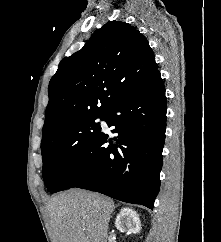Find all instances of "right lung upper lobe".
<instances>
[{
  "label": "right lung upper lobe",
  "instance_id": "cb5924a9",
  "mask_svg": "<svg viewBox=\"0 0 221 242\" xmlns=\"http://www.w3.org/2000/svg\"><path fill=\"white\" fill-rule=\"evenodd\" d=\"M157 69L148 40L134 26L107 22L60 62L49 83L43 135L82 116L103 115Z\"/></svg>",
  "mask_w": 221,
  "mask_h": 242
}]
</instances>
